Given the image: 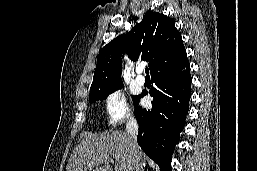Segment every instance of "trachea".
I'll return each instance as SVG.
<instances>
[{
	"label": "trachea",
	"instance_id": "3493384b",
	"mask_svg": "<svg viewBox=\"0 0 257 171\" xmlns=\"http://www.w3.org/2000/svg\"><path fill=\"white\" fill-rule=\"evenodd\" d=\"M145 74H146V77H149V69L148 68H145Z\"/></svg>",
	"mask_w": 257,
	"mask_h": 171
}]
</instances>
